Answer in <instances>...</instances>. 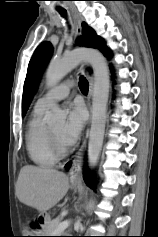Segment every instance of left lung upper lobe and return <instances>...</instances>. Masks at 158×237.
<instances>
[{
  "label": "left lung upper lobe",
  "mask_w": 158,
  "mask_h": 237,
  "mask_svg": "<svg viewBox=\"0 0 158 237\" xmlns=\"http://www.w3.org/2000/svg\"><path fill=\"white\" fill-rule=\"evenodd\" d=\"M82 36L77 42L78 45L85 47H93L99 49L106 57L111 56L110 51L105 46V41L98 37L95 31L88 27L86 23H82ZM52 54V46L49 42H43L35 50L28 66L27 76L24 83L22 98V114L25 115L33 94L37 88L40 73L46 61Z\"/></svg>",
  "instance_id": "obj_1"
}]
</instances>
